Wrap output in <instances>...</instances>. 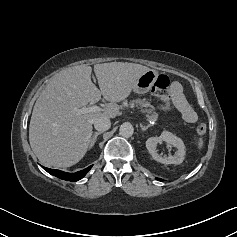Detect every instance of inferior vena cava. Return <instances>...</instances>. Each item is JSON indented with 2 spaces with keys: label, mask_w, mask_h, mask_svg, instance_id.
<instances>
[{
  "label": "inferior vena cava",
  "mask_w": 237,
  "mask_h": 237,
  "mask_svg": "<svg viewBox=\"0 0 237 237\" xmlns=\"http://www.w3.org/2000/svg\"><path fill=\"white\" fill-rule=\"evenodd\" d=\"M94 128L100 132L106 131L110 128V119L106 116L98 117L94 120Z\"/></svg>",
  "instance_id": "602c4592"
}]
</instances>
